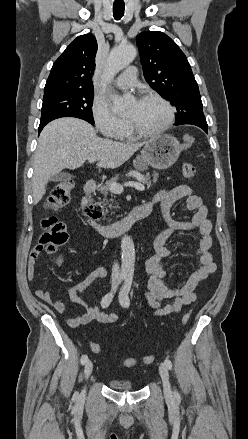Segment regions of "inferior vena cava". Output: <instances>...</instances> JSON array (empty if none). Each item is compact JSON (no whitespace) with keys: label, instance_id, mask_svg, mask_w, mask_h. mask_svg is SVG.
I'll return each mask as SVG.
<instances>
[{"label":"inferior vena cava","instance_id":"1","mask_svg":"<svg viewBox=\"0 0 248 439\" xmlns=\"http://www.w3.org/2000/svg\"><path fill=\"white\" fill-rule=\"evenodd\" d=\"M119 274H120L119 264L118 262H115L112 266V274H111L113 283H116L119 280Z\"/></svg>","mask_w":248,"mask_h":439}]
</instances>
